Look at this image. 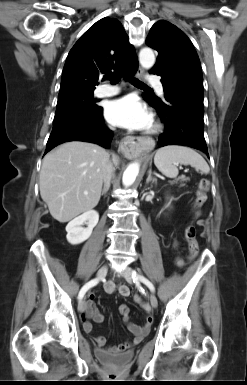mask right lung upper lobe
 <instances>
[{"label": "right lung upper lobe", "mask_w": 247, "mask_h": 385, "mask_svg": "<svg viewBox=\"0 0 247 385\" xmlns=\"http://www.w3.org/2000/svg\"><path fill=\"white\" fill-rule=\"evenodd\" d=\"M137 65L134 47L121 23L109 17L103 18L92 25L70 50L60 91L94 90L104 74L114 70L125 75Z\"/></svg>", "instance_id": "cb5924a9"}]
</instances>
